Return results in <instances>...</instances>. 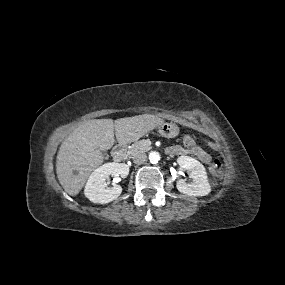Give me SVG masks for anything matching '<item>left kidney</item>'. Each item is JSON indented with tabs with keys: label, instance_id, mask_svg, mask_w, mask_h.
Listing matches in <instances>:
<instances>
[{
	"label": "left kidney",
	"instance_id": "obj_1",
	"mask_svg": "<svg viewBox=\"0 0 285 285\" xmlns=\"http://www.w3.org/2000/svg\"><path fill=\"white\" fill-rule=\"evenodd\" d=\"M177 163L182 170H189L192 180L184 179L177 181L176 187L179 192L188 196H205L211 191L205 167L196 159L189 156H180Z\"/></svg>",
	"mask_w": 285,
	"mask_h": 285
}]
</instances>
